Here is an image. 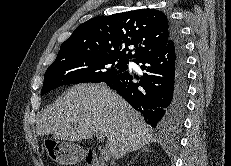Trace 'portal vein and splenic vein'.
<instances>
[{
  "instance_id": "18ae733b",
  "label": "portal vein and splenic vein",
  "mask_w": 231,
  "mask_h": 166,
  "mask_svg": "<svg viewBox=\"0 0 231 166\" xmlns=\"http://www.w3.org/2000/svg\"><path fill=\"white\" fill-rule=\"evenodd\" d=\"M96 137H97V139H98L99 141H104V139H105V138H104V135L101 134V133H97V134H96ZM101 154H102V157L104 158V160L108 161V160L110 159L111 153H110V150H109L108 147H104V148L102 149Z\"/></svg>"
}]
</instances>
